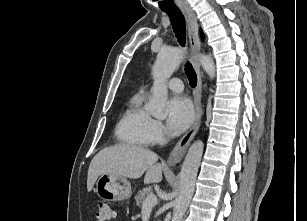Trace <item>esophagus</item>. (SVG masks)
<instances>
[{
	"label": "esophagus",
	"mask_w": 307,
	"mask_h": 221,
	"mask_svg": "<svg viewBox=\"0 0 307 221\" xmlns=\"http://www.w3.org/2000/svg\"><path fill=\"white\" fill-rule=\"evenodd\" d=\"M181 10L186 18L189 43L192 51V62L197 74V86L194 90L195 117L190 129L179 140V142L172 150L170 156L168 157L167 163L170 166H175L176 164L182 161L191 141L193 140L199 129L201 117L204 112L203 104L201 103L203 75L201 73L200 60H199L200 41L198 36V21L194 11L188 4L183 5L181 7Z\"/></svg>",
	"instance_id": "34e87169"
}]
</instances>
